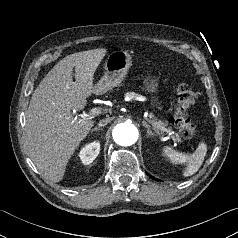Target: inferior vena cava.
Instances as JSON below:
<instances>
[{"instance_id":"obj_1","label":"inferior vena cava","mask_w":238,"mask_h":238,"mask_svg":"<svg viewBox=\"0 0 238 238\" xmlns=\"http://www.w3.org/2000/svg\"><path fill=\"white\" fill-rule=\"evenodd\" d=\"M110 121H111L110 118H105V119L100 120L98 125L102 127V126L107 125Z\"/></svg>"}]
</instances>
